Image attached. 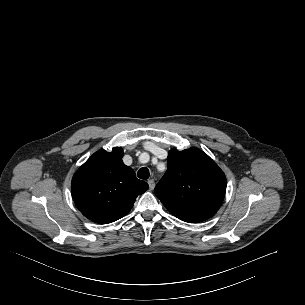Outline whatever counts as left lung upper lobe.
Here are the masks:
<instances>
[{
  "instance_id": "5c2ea615",
  "label": "left lung upper lobe",
  "mask_w": 305,
  "mask_h": 305,
  "mask_svg": "<svg viewBox=\"0 0 305 305\" xmlns=\"http://www.w3.org/2000/svg\"><path fill=\"white\" fill-rule=\"evenodd\" d=\"M168 168L154 192L177 218L198 223L212 217L220 208L226 177L203 151L189 148L170 150Z\"/></svg>"
}]
</instances>
